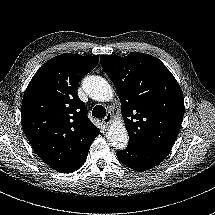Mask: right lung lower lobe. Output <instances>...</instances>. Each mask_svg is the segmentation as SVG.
Returning a JSON list of instances; mask_svg holds the SVG:
<instances>
[{
    "label": "right lung lower lobe",
    "instance_id": "obj_1",
    "mask_svg": "<svg viewBox=\"0 0 215 215\" xmlns=\"http://www.w3.org/2000/svg\"><path fill=\"white\" fill-rule=\"evenodd\" d=\"M99 133H100V130H98V131L96 132L95 137H96ZM95 137L93 138V140L95 139ZM93 140H92V142H93ZM91 144H92V143H91ZM88 150H89V149H88ZM87 153H88V152H87ZM86 158H87V154H86ZM86 158H85V160H86ZM85 160H84V162H85ZM84 162H83V164H84ZM83 164H82V165H83ZM82 165H81V166H82ZM81 166H80V167H81ZM80 167H79V168H80ZM77 169H78V168H77ZM77 169H76V170H77Z\"/></svg>",
    "mask_w": 215,
    "mask_h": 215
}]
</instances>
